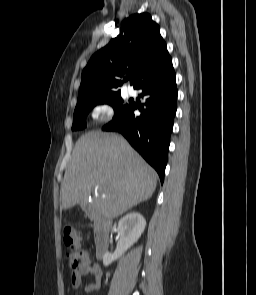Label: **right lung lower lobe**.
<instances>
[{"instance_id": "obj_1", "label": "right lung lower lobe", "mask_w": 256, "mask_h": 295, "mask_svg": "<svg viewBox=\"0 0 256 295\" xmlns=\"http://www.w3.org/2000/svg\"><path fill=\"white\" fill-rule=\"evenodd\" d=\"M136 89H142L145 107L139 108L140 116L134 115L137 105L131 103L120 115L102 129L117 131L155 168L163 183L170 134L177 109L176 74L169 57L160 67L147 73Z\"/></svg>"}]
</instances>
